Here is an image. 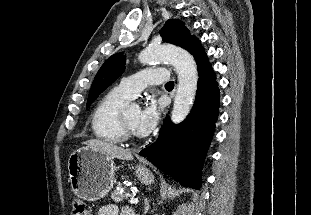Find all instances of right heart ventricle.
Instances as JSON below:
<instances>
[{"mask_svg":"<svg viewBox=\"0 0 311 215\" xmlns=\"http://www.w3.org/2000/svg\"><path fill=\"white\" fill-rule=\"evenodd\" d=\"M130 100V97L116 87L101 98L91 118L92 131L96 138L111 144H118L124 140L120 113Z\"/></svg>","mask_w":311,"mask_h":215,"instance_id":"1","label":"right heart ventricle"}]
</instances>
